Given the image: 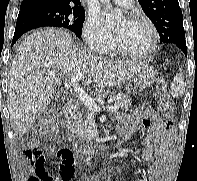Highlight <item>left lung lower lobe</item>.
<instances>
[{"label":"left lung lower lobe","mask_w":197,"mask_h":181,"mask_svg":"<svg viewBox=\"0 0 197 181\" xmlns=\"http://www.w3.org/2000/svg\"><path fill=\"white\" fill-rule=\"evenodd\" d=\"M185 55H187V46L186 44H182V45H177Z\"/></svg>","instance_id":"obj_1"}]
</instances>
